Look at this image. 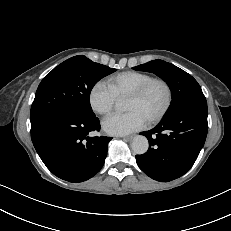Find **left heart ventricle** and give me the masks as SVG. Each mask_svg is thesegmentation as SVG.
<instances>
[{"label": "left heart ventricle", "mask_w": 231, "mask_h": 231, "mask_svg": "<svg viewBox=\"0 0 231 231\" xmlns=\"http://www.w3.org/2000/svg\"><path fill=\"white\" fill-rule=\"evenodd\" d=\"M165 99L164 87L160 84H155L143 98H127L125 109L127 111H138L148 120L162 109Z\"/></svg>", "instance_id": "obj_1"}]
</instances>
